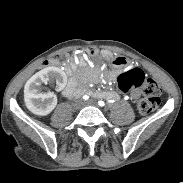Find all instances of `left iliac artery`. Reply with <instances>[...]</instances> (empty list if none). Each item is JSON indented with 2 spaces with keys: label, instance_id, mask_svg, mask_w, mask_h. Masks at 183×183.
I'll return each mask as SVG.
<instances>
[{
  "label": "left iliac artery",
  "instance_id": "44dca946",
  "mask_svg": "<svg viewBox=\"0 0 183 183\" xmlns=\"http://www.w3.org/2000/svg\"><path fill=\"white\" fill-rule=\"evenodd\" d=\"M98 104H99L100 106H102V107L105 106V103H104L103 101H101V100L98 101Z\"/></svg>",
  "mask_w": 183,
  "mask_h": 183
}]
</instances>
